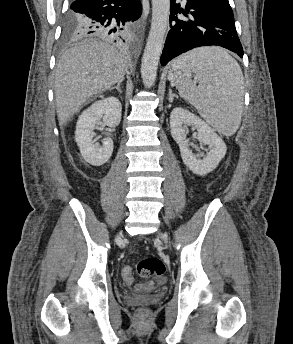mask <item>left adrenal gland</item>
<instances>
[{
	"label": "left adrenal gland",
	"mask_w": 293,
	"mask_h": 344,
	"mask_svg": "<svg viewBox=\"0 0 293 344\" xmlns=\"http://www.w3.org/2000/svg\"><path fill=\"white\" fill-rule=\"evenodd\" d=\"M174 97L178 98V96L176 94H173L172 90L169 89V102H173Z\"/></svg>",
	"instance_id": "1"
}]
</instances>
